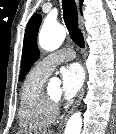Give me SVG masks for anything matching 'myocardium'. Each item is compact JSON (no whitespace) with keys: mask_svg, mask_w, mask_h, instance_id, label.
Instances as JSON below:
<instances>
[{"mask_svg":"<svg viewBox=\"0 0 116 134\" xmlns=\"http://www.w3.org/2000/svg\"><path fill=\"white\" fill-rule=\"evenodd\" d=\"M45 98L48 101V103L55 109H57L59 100L52 98L48 93L45 92Z\"/></svg>","mask_w":116,"mask_h":134,"instance_id":"1","label":"myocardium"}]
</instances>
